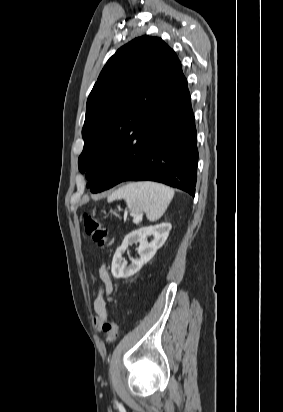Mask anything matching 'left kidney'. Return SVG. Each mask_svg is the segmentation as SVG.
I'll list each match as a JSON object with an SVG mask.
<instances>
[{
  "instance_id": "1",
  "label": "left kidney",
  "mask_w": 283,
  "mask_h": 412,
  "mask_svg": "<svg viewBox=\"0 0 283 412\" xmlns=\"http://www.w3.org/2000/svg\"><path fill=\"white\" fill-rule=\"evenodd\" d=\"M170 230V223H161L142 227L126 235L121 246L117 248L113 256L111 272L114 278H128L137 273L144 264L154 257L157 250L163 246ZM150 236L153 239L151 242H148L147 238ZM133 243H139V257L131 259V264L127 266V262L123 260L122 255L128 246Z\"/></svg>"
}]
</instances>
